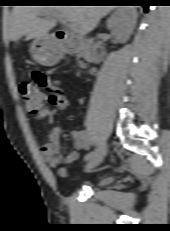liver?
Here are the masks:
<instances>
[{
	"label": "liver",
	"instance_id": "obj_1",
	"mask_svg": "<svg viewBox=\"0 0 170 231\" xmlns=\"http://www.w3.org/2000/svg\"><path fill=\"white\" fill-rule=\"evenodd\" d=\"M112 10L113 6H15L6 36L12 41H17L23 36L25 40L45 37L56 26V21L52 17L58 15L73 24L80 36H85ZM44 15L47 18H42Z\"/></svg>",
	"mask_w": 170,
	"mask_h": 231
}]
</instances>
